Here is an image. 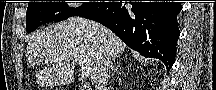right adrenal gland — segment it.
<instances>
[{"mask_svg": "<svg viewBox=\"0 0 216 90\" xmlns=\"http://www.w3.org/2000/svg\"><path fill=\"white\" fill-rule=\"evenodd\" d=\"M120 60H123V58H120ZM109 68L111 70V80H114L115 72H118V66L116 68L115 60H112V62H110Z\"/></svg>", "mask_w": 216, "mask_h": 90, "instance_id": "2a0ac1e0", "label": "right adrenal gland"}]
</instances>
